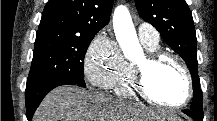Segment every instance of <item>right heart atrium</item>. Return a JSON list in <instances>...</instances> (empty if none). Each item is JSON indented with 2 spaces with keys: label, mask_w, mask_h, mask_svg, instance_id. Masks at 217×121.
I'll return each mask as SVG.
<instances>
[{
  "label": "right heart atrium",
  "mask_w": 217,
  "mask_h": 121,
  "mask_svg": "<svg viewBox=\"0 0 217 121\" xmlns=\"http://www.w3.org/2000/svg\"><path fill=\"white\" fill-rule=\"evenodd\" d=\"M124 62L117 43L107 32L102 31L93 38L86 51V78L91 85L107 89L121 74Z\"/></svg>",
  "instance_id": "right-heart-atrium-1"
}]
</instances>
